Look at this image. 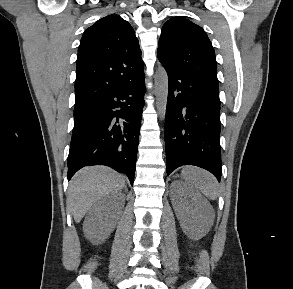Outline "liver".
I'll use <instances>...</instances> for the list:
<instances>
[{
    "label": "liver",
    "mask_w": 293,
    "mask_h": 289,
    "mask_svg": "<svg viewBox=\"0 0 293 289\" xmlns=\"http://www.w3.org/2000/svg\"><path fill=\"white\" fill-rule=\"evenodd\" d=\"M125 179L111 168L88 166L72 178L67 195V204L76 223L104 196L122 190Z\"/></svg>",
    "instance_id": "liver-1"
}]
</instances>
